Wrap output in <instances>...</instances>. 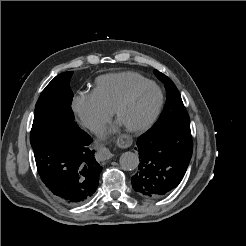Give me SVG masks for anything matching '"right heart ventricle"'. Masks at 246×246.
<instances>
[{
	"label": "right heart ventricle",
	"mask_w": 246,
	"mask_h": 246,
	"mask_svg": "<svg viewBox=\"0 0 246 246\" xmlns=\"http://www.w3.org/2000/svg\"><path fill=\"white\" fill-rule=\"evenodd\" d=\"M147 81L139 73L124 71L99 76L92 90L93 96L101 106L113 111L119 100L135 85Z\"/></svg>",
	"instance_id": "e07e8e85"
}]
</instances>
